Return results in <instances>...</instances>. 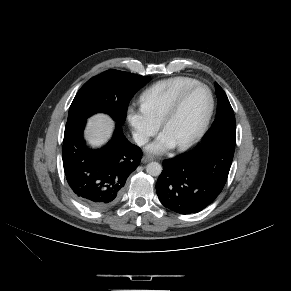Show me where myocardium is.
<instances>
[{
  "instance_id": "f54148a6",
  "label": "myocardium",
  "mask_w": 291,
  "mask_h": 291,
  "mask_svg": "<svg viewBox=\"0 0 291 291\" xmlns=\"http://www.w3.org/2000/svg\"><path fill=\"white\" fill-rule=\"evenodd\" d=\"M198 88H204L209 95V100H210V104H209V108L208 111L199 127V129L196 131V133L189 138L188 140H186L185 142L178 144L177 145V149L180 151H184L187 150L189 148H191L192 146H194L201 138L202 136L205 134L208 125L210 123V120L212 118L213 112H214V108H215V99H214V95L212 90L210 89V87L204 83L198 82L196 84H193L187 88H185L178 96L177 98L174 100V102L171 104V106L168 108V110L165 112L164 116L162 117L161 120V128L162 130H164L165 126L167 125V123L176 115V113L179 111V109L181 108L182 104L184 103L185 99L187 98V96L194 91L195 89Z\"/></svg>"
}]
</instances>
